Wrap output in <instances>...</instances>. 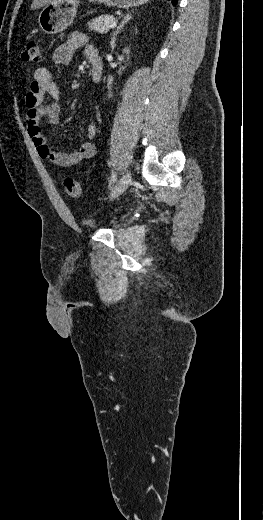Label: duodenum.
<instances>
[{"mask_svg":"<svg viewBox=\"0 0 263 520\" xmlns=\"http://www.w3.org/2000/svg\"><path fill=\"white\" fill-rule=\"evenodd\" d=\"M88 59L92 66V70H91L92 80H93V82L97 83L101 79L102 70H103L101 57L97 51H92L89 54Z\"/></svg>","mask_w":263,"mask_h":520,"instance_id":"1","label":"duodenum"}]
</instances>
